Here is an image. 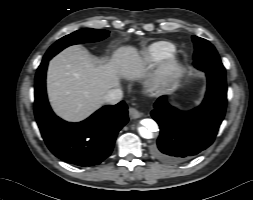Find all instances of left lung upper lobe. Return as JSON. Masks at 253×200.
Listing matches in <instances>:
<instances>
[{
	"label": "left lung upper lobe",
	"mask_w": 253,
	"mask_h": 200,
	"mask_svg": "<svg viewBox=\"0 0 253 200\" xmlns=\"http://www.w3.org/2000/svg\"><path fill=\"white\" fill-rule=\"evenodd\" d=\"M195 52L194 66L202 71H210L225 75V68L214 46L203 38L192 37Z\"/></svg>",
	"instance_id": "5c2ea615"
}]
</instances>
